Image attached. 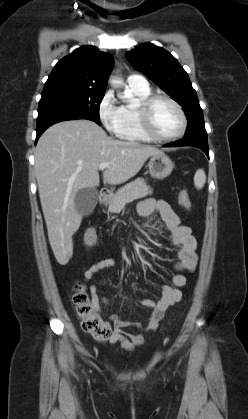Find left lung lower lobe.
I'll use <instances>...</instances> for the list:
<instances>
[{
    "instance_id": "obj_1",
    "label": "left lung lower lobe",
    "mask_w": 248,
    "mask_h": 419,
    "mask_svg": "<svg viewBox=\"0 0 248 419\" xmlns=\"http://www.w3.org/2000/svg\"><path fill=\"white\" fill-rule=\"evenodd\" d=\"M166 147H179V146H195L200 148L209 157L208 141L206 130L196 131L185 135V137L174 143L165 145Z\"/></svg>"
}]
</instances>
